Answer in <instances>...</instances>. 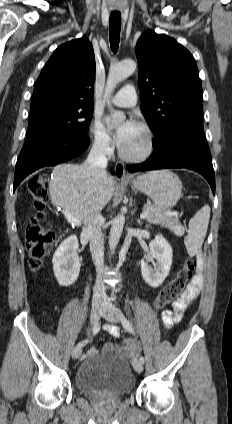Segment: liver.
<instances>
[{
    "mask_svg": "<svg viewBox=\"0 0 232 424\" xmlns=\"http://www.w3.org/2000/svg\"><path fill=\"white\" fill-rule=\"evenodd\" d=\"M53 173L49 185L52 202L81 222L103 209L114 194V179L107 175L104 181L96 183L85 164H60Z\"/></svg>",
    "mask_w": 232,
    "mask_h": 424,
    "instance_id": "1",
    "label": "liver"
}]
</instances>
